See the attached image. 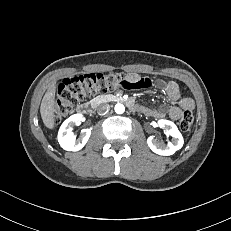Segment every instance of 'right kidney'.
Returning <instances> with one entry per match:
<instances>
[{"mask_svg":"<svg viewBox=\"0 0 231 231\" xmlns=\"http://www.w3.org/2000/svg\"><path fill=\"white\" fill-rule=\"evenodd\" d=\"M81 120V114H74L66 119L61 125L58 132V142L64 150L79 151L87 143L91 135V129H83L77 139L73 133V126L78 125Z\"/></svg>","mask_w":231,"mask_h":231,"instance_id":"right-kidney-1","label":"right kidney"}]
</instances>
